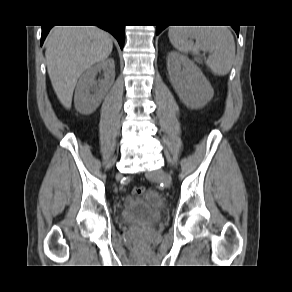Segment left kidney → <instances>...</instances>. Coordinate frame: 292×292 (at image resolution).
I'll return each instance as SVG.
<instances>
[{"label":"left kidney","mask_w":292,"mask_h":292,"mask_svg":"<svg viewBox=\"0 0 292 292\" xmlns=\"http://www.w3.org/2000/svg\"><path fill=\"white\" fill-rule=\"evenodd\" d=\"M167 70L173 88L187 107L200 109L213 98L211 84L188 57L171 51L167 56Z\"/></svg>","instance_id":"5707ae66"}]
</instances>
